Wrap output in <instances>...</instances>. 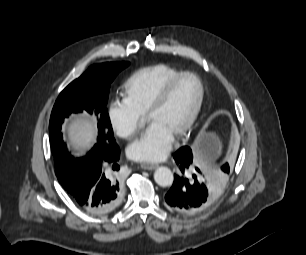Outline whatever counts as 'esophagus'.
I'll return each mask as SVG.
<instances>
[{"label": "esophagus", "instance_id": "obj_1", "mask_svg": "<svg viewBox=\"0 0 306 255\" xmlns=\"http://www.w3.org/2000/svg\"><path fill=\"white\" fill-rule=\"evenodd\" d=\"M158 167L157 164H154V163H149V162H143L141 164V168L144 169V170H154Z\"/></svg>", "mask_w": 306, "mask_h": 255}]
</instances>
